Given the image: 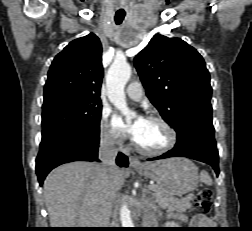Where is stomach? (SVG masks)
<instances>
[{
    "instance_id": "0dacf381",
    "label": "stomach",
    "mask_w": 252,
    "mask_h": 231,
    "mask_svg": "<svg viewBox=\"0 0 252 231\" xmlns=\"http://www.w3.org/2000/svg\"><path fill=\"white\" fill-rule=\"evenodd\" d=\"M136 171L156 182L162 195H183L198 184L196 166L186 158H169L158 162L145 163Z\"/></svg>"
}]
</instances>
